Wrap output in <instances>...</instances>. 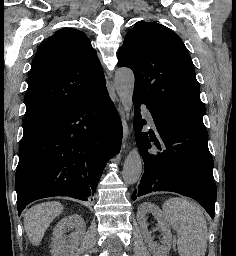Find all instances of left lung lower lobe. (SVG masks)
<instances>
[{"label":"left lung lower lobe","mask_w":236,"mask_h":256,"mask_svg":"<svg viewBox=\"0 0 236 256\" xmlns=\"http://www.w3.org/2000/svg\"><path fill=\"white\" fill-rule=\"evenodd\" d=\"M133 103L134 130L145 172L132 199L153 191L176 192L198 201L214 218L216 185L204 124L151 106L135 96ZM141 104H145L151 113L155 132H141L146 124L145 120L141 121ZM151 142H154L157 149Z\"/></svg>","instance_id":"left-lung-lower-lobe-1"}]
</instances>
